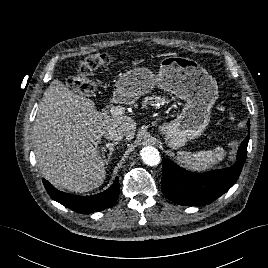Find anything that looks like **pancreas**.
Returning a JSON list of instances; mask_svg holds the SVG:
<instances>
[{
  "mask_svg": "<svg viewBox=\"0 0 268 268\" xmlns=\"http://www.w3.org/2000/svg\"><path fill=\"white\" fill-rule=\"evenodd\" d=\"M165 101L164 98L160 97V96H150V97H145L142 103L143 107H146L147 105H153V103H158V102H162Z\"/></svg>",
  "mask_w": 268,
  "mask_h": 268,
  "instance_id": "1",
  "label": "pancreas"
}]
</instances>
